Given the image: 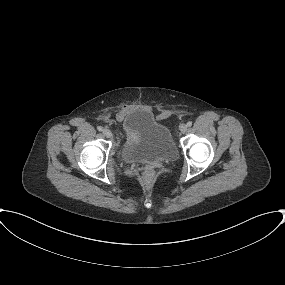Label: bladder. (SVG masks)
Masks as SVG:
<instances>
[{"instance_id":"31cf9c89","label":"bladder","mask_w":285,"mask_h":285,"mask_svg":"<svg viewBox=\"0 0 285 285\" xmlns=\"http://www.w3.org/2000/svg\"><path fill=\"white\" fill-rule=\"evenodd\" d=\"M123 159L132 162L173 161L178 152L168 127L144 109H136L122 122Z\"/></svg>"}]
</instances>
